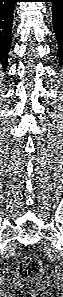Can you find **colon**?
Instances as JSON below:
<instances>
[{
  "label": "colon",
  "instance_id": "colon-1",
  "mask_svg": "<svg viewBox=\"0 0 63 297\" xmlns=\"http://www.w3.org/2000/svg\"><path fill=\"white\" fill-rule=\"evenodd\" d=\"M40 271L39 261L33 257H27L20 266V273L24 276H32Z\"/></svg>",
  "mask_w": 63,
  "mask_h": 297
}]
</instances>
